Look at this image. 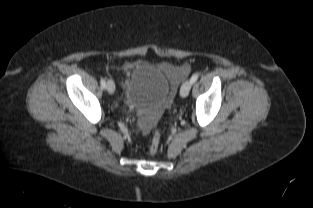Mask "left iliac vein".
Masks as SVG:
<instances>
[{"instance_id": "obj_1", "label": "left iliac vein", "mask_w": 313, "mask_h": 208, "mask_svg": "<svg viewBox=\"0 0 313 208\" xmlns=\"http://www.w3.org/2000/svg\"><path fill=\"white\" fill-rule=\"evenodd\" d=\"M191 87H192L191 81H185L180 89L181 97L183 98L186 97L189 94Z\"/></svg>"}]
</instances>
